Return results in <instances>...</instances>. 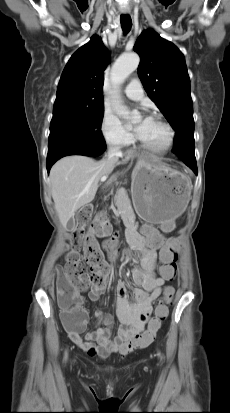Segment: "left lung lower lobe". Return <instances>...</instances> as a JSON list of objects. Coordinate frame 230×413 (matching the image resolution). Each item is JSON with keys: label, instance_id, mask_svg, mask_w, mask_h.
Instances as JSON below:
<instances>
[{"label": "left lung lower lobe", "instance_id": "0a47b994", "mask_svg": "<svg viewBox=\"0 0 230 413\" xmlns=\"http://www.w3.org/2000/svg\"><path fill=\"white\" fill-rule=\"evenodd\" d=\"M188 167H190L195 174L197 175V164H196V159H191V160H184L183 161Z\"/></svg>", "mask_w": 230, "mask_h": 413}]
</instances>
